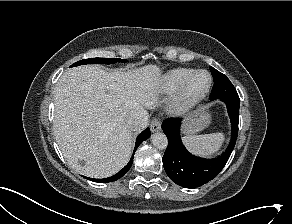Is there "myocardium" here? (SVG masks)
Returning <instances> with one entry per match:
<instances>
[{
    "label": "myocardium",
    "instance_id": "obj_1",
    "mask_svg": "<svg viewBox=\"0 0 292 224\" xmlns=\"http://www.w3.org/2000/svg\"><path fill=\"white\" fill-rule=\"evenodd\" d=\"M200 73H206L209 76V83L208 86L204 91L198 94H191L189 92V86L193 79ZM213 84V77L211 73L204 69L195 70L193 73H191L181 84L179 89L174 95V98L172 100V111L174 113H179L182 111H186L195 105H197L200 101H202L210 92L211 87Z\"/></svg>",
    "mask_w": 292,
    "mask_h": 224
}]
</instances>
